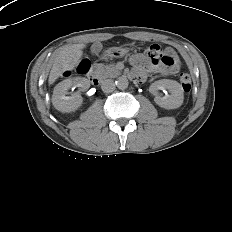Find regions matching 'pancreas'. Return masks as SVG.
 <instances>
[{
	"instance_id": "pancreas-1",
	"label": "pancreas",
	"mask_w": 232,
	"mask_h": 232,
	"mask_svg": "<svg viewBox=\"0 0 232 232\" xmlns=\"http://www.w3.org/2000/svg\"><path fill=\"white\" fill-rule=\"evenodd\" d=\"M97 73L101 78H114L120 75V71L116 68L114 64L104 65L97 64L96 65Z\"/></svg>"
}]
</instances>
